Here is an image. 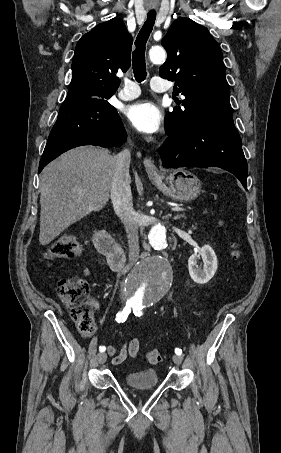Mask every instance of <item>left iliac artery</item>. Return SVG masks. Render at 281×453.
Masks as SVG:
<instances>
[{"label":"left iliac artery","instance_id":"44dca946","mask_svg":"<svg viewBox=\"0 0 281 453\" xmlns=\"http://www.w3.org/2000/svg\"><path fill=\"white\" fill-rule=\"evenodd\" d=\"M132 307H133V313L135 314V316L140 317L142 315L141 310L143 309V306L140 305V304H134ZM175 353L177 355H181L182 354V350L179 349V348H176L175 349Z\"/></svg>","mask_w":281,"mask_h":453}]
</instances>
